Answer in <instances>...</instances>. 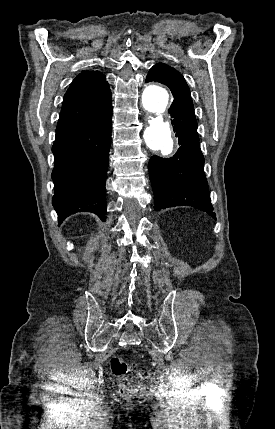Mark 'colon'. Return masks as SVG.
Wrapping results in <instances>:
<instances>
[{
  "mask_svg": "<svg viewBox=\"0 0 275 429\" xmlns=\"http://www.w3.org/2000/svg\"><path fill=\"white\" fill-rule=\"evenodd\" d=\"M111 371L114 375L126 378V381L120 388V393L126 398L133 397L137 391V386L134 382L127 380L128 374L132 370V366L121 357H113L110 362Z\"/></svg>",
  "mask_w": 275,
  "mask_h": 429,
  "instance_id": "5ec220e1",
  "label": "colon"
}]
</instances>
